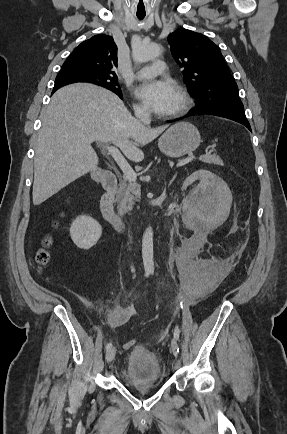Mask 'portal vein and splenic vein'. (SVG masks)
<instances>
[{"label": "portal vein and splenic vein", "instance_id": "portal-vein-and-splenic-vein-1", "mask_svg": "<svg viewBox=\"0 0 287 434\" xmlns=\"http://www.w3.org/2000/svg\"><path fill=\"white\" fill-rule=\"evenodd\" d=\"M104 148L108 151V153L112 156V158L115 160L117 165L120 167V169L122 170V172L124 174V178L130 182H135L137 175L134 172V170L131 168V166L128 164L126 159L123 157V155L121 154L119 149L116 146H111V145H107V144L104 145ZM193 159H194V156L191 155L185 159L180 160L176 166L181 167V166L189 163Z\"/></svg>", "mask_w": 287, "mask_h": 434}]
</instances>
